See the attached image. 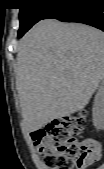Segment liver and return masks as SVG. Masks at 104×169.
<instances>
[{
    "mask_svg": "<svg viewBox=\"0 0 104 169\" xmlns=\"http://www.w3.org/2000/svg\"><path fill=\"white\" fill-rule=\"evenodd\" d=\"M104 77V34L45 19L20 41L16 87L27 132L82 110Z\"/></svg>",
    "mask_w": 104,
    "mask_h": 169,
    "instance_id": "6515ba94",
    "label": "liver"
}]
</instances>
